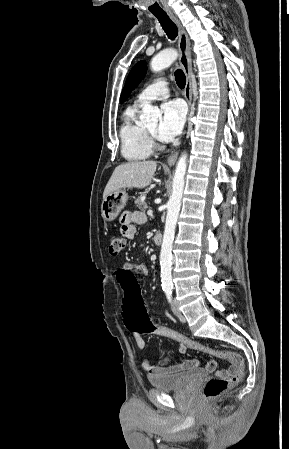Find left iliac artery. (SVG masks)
<instances>
[{
    "label": "left iliac artery",
    "mask_w": 289,
    "mask_h": 449,
    "mask_svg": "<svg viewBox=\"0 0 289 449\" xmlns=\"http://www.w3.org/2000/svg\"><path fill=\"white\" fill-rule=\"evenodd\" d=\"M166 296L169 302L172 301V290L171 289H167L166 291Z\"/></svg>",
    "instance_id": "left-iliac-artery-1"
}]
</instances>
